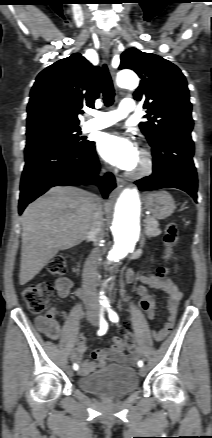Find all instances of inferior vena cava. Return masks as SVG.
I'll return each instance as SVG.
<instances>
[{"label":"inferior vena cava","instance_id":"obj_1","mask_svg":"<svg viewBox=\"0 0 212 438\" xmlns=\"http://www.w3.org/2000/svg\"><path fill=\"white\" fill-rule=\"evenodd\" d=\"M96 207L93 212L88 237L93 241L95 248L87 259L83 270V288L85 290V303L88 309H98L99 303L95 293L94 284L96 281V261L100 250L97 247L104 237V222L101 206V199L96 197Z\"/></svg>","mask_w":212,"mask_h":438}]
</instances>
